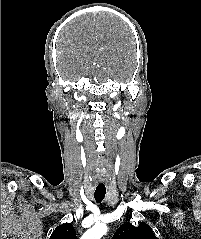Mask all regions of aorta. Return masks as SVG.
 I'll return each instance as SVG.
<instances>
[{
  "mask_svg": "<svg viewBox=\"0 0 201 239\" xmlns=\"http://www.w3.org/2000/svg\"><path fill=\"white\" fill-rule=\"evenodd\" d=\"M107 232V226L106 225H95L91 229H89L82 237L81 239H101L103 235H105Z\"/></svg>",
  "mask_w": 201,
  "mask_h": 239,
  "instance_id": "762f6f07",
  "label": "aorta"
}]
</instances>
